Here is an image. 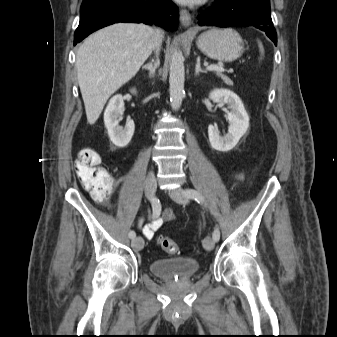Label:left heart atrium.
<instances>
[{
  "label": "left heart atrium",
  "mask_w": 337,
  "mask_h": 337,
  "mask_svg": "<svg viewBox=\"0 0 337 337\" xmlns=\"http://www.w3.org/2000/svg\"><path fill=\"white\" fill-rule=\"evenodd\" d=\"M177 1L183 4L194 5V4H199L203 2L204 0H177Z\"/></svg>",
  "instance_id": "39dd6f15"
}]
</instances>
